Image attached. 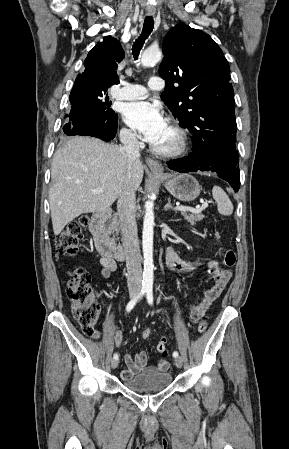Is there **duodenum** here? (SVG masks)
Masks as SVG:
<instances>
[{
  "label": "duodenum",
  "instance_id": "duodenum-1",
  "mask_svg": "<svg viewBox=\"0 0 289 449\" xmlns=\"http://www.w3.org/2000/svg\"><path fill=\"white\" fill-rule=\"evenodd\" d=\"M111 213L108 208L95 213L90 220L89 230L98 251L103 257L123 260L126 256V247L114 242L105 231V223Z\"/></svg>",
  "mask_w": 289,
  "mask_h": 449
}]
</instances>
